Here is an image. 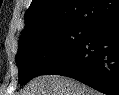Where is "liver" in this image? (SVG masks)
Listing matches in <instances>:
<instances>
[{
	"label": "liver",
	"mask_w": 119,
	"mask_h": 95,
	"mask_svg": "<svg viewBox=\"0 0 119 95\" xmlns=\"http://www.w3.org/2000/svg\"><path fill=\"white\" fill-rule=\"evenodd\" d=\"M18 95H101L88 86L60 75H43L31 80Z\"/></svg>",
	"instance_id": "obj_1"
}]
</instances>
